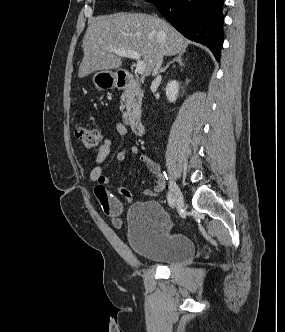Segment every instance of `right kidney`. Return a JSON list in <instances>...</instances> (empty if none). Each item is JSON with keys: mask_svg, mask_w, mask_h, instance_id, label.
Instances as JSON below:
<instances>
[{"mask_svg": "<svg viewBox=\"0 0 285 332\" xmlns=\"http://www.w3.org/2000/svg\"><path fill=\"white\" fill-rule=\"evenodd\" d=\"M166 96L169 102L174 103L178 97L179 93V82L176 80H171L167 83L166 86Z\"/></svg>", "mask_w": 285, "mask_h": 332, "instance_id": "obj_1", "label": "right kidney"}]
</instances>
